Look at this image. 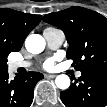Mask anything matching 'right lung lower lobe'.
I'll return each instance as SVG.
<instances>
[{
	"instance_id": "1",
	"label": "right lung lower lobe",
	"mask_w": 107,
	"mask_h": 107,
	"mask_svg": "<svg viewBox=\"0 0 107 107\" xmlns=\"http://www.w3.org/2000/svg\"><path fill=\"white\" fill-rule=\"evenodd\" d=\"M42 78L39 72H28L10 81L8 69L0 70V107H29L34 87Z\"/></svg>"
}]
</instances>
